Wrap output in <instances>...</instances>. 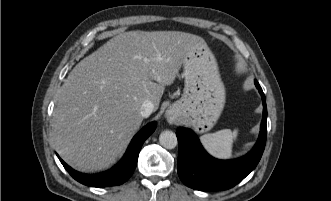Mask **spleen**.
<instances>
[{"label": "spleen", "mask_w": 331, "mask_h": 201, "mask_svg": "<svg viewBox=\"0 0 331 201\" xmlns=\"http://www.w3.org/2000/svg\"><path fill=\"white\" fill-rule=\"evenodd\" d=\"M237 136L238 129H234L233 131L223 129L201 136L200 141L207 152L213 157L229 159L232 156V147Z\"/></svg>", "instance_id": "obj_1"}]
</instances>
